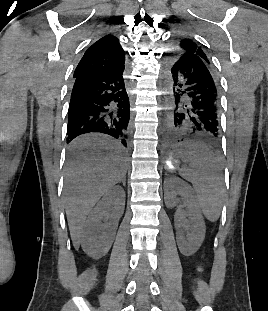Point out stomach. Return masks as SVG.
<instances>
[{
  "label": "stomach",
  "mask_w": 268,
  "mask_h": 311,
  "mask_svg": "<svg viewBox=\"0 0 268 311\" xmlns=\"http://www.w3.org/2000/svg\"><path fill=\"white\" fill-rule=\"evenodd\" d=\"M188 153H189L188 145L181 146L173 151V153L170 156V161L175 164H177L180 159L184 161L182 156H186Z\"/></svg>",
  "instance_id": "obj_1"
}]
</instances>
